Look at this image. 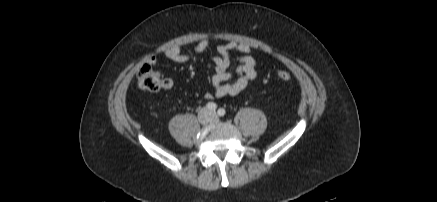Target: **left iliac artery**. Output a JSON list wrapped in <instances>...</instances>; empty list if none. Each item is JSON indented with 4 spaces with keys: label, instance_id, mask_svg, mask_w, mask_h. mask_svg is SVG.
Here are the masks:
<instances>
[{
    "label": "left iliac artery",
    "instance_id": "1",
    "mask_svg": "<svg viewBox=\"0 0 437 202\" xmlns=\"http://www.w3.org/2000/svg\"><path fill=\"white\" fill-rule=\"evenodd\" d=\"M217 113H218L219 116H224L225 113H226V111H225V109L220 108V109L217 111Z\"/></svg>",
    "mask_w": 437,
    "mask_h": 202
}]
</instances>
